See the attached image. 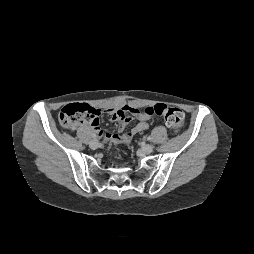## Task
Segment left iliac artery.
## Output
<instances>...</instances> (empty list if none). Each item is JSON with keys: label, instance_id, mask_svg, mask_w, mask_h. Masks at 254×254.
<instances>
[{"label": "left iliac artery", "instance_id": "left-iliac-artery-1", "mask_svg": "<svg viewBox=\"0 0 254 254\" xmlns=\"http://www.w3.org/2000/svg\"><path fill=\"white\" fill-rule=\"evenodd\" d=\"M147 140H151V137H150V136H148V137H147Z\"/></svg>", "mask_w": 254, "mask_h": 254}]
</instances>
